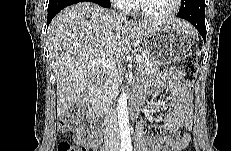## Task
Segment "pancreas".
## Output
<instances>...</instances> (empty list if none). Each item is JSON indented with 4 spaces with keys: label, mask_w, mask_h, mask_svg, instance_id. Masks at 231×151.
Returning a JSON list of instances; mask_svg holds the SVG:
<instances>
[{
    "label": "pancreas",
    "mask_w": 231,
    "mask_h": 151,
    "mask_svg": "<svg viewBox=\"0 0 231 151\" xmlns=\"http://www.w3.org/2000/svg\"><path fill=\"white\" fill-rule=\"evenodd\" d=\"M159 65L152 62L149 57L144 54L142 60L137 63V72L140 74H151L157 71ZM121 82L120 74H109L105 83L101 86L99 92V101L101 104L106 103L118 94V87Z\"/></svg>",
    "instance_id": "pancreas-1"
}]
</instances>
